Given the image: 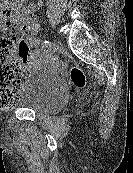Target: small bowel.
<instances>
[{
	"label": "small bowel",
	"mask_w": 133,
	"mask_h": 173,
	"mask_svg": "<svg viewBox=\"0 0 133 173\" xmlns=\"http://www.w3.org/2000/svg\"><path fill=\"white\" fill-rule=\"evenodd\" d=\"M30 25H31L30 33L32 35L36 34L40 29L39 24L37 22H31ZM27 42L32 48V50L29 51L28 56L24 61V66L31 68L44 60L45 53L44 51L40 50L39 48L40 42L38 39L30 36L27 38Z\"/></svg>",
	"instance_id": "1"
}]
</instances>
